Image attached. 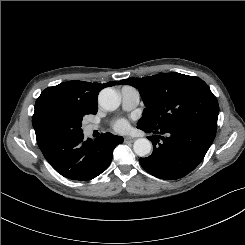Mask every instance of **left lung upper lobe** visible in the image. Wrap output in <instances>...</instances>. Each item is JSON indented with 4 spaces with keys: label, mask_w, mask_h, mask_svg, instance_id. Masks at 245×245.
Wrapping results in <instances>:
<instances>
[{
    "label": "left lung upper lobe",
    "mask_w": 245,
    "mask_h": 245,
    "mask_svg": "<svg viewBox=\"0 0 245 245\" xmlns=\"http://www.w3.org/2000/svg\"><path fill=\"white\" fill-rule=\"evenodd\" d=\"M118 84L137 88L146 108L139 129H162L195 122L217 129L219 106L209 86L200 78L180 73H163L128 78Z\"/></svg>",
    "instance_id": "5c2ea615"
}]
</instances>
